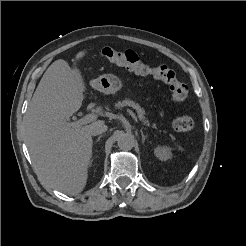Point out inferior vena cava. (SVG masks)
Returning <instances> with one entry per match:
<instances>
[{
    "label": "inferior vena cava",
    "instance_id": "1",
    "mask_svg": "<svg viewBox=\"0 0 246 246\" xmlns=\"http://www.w3.org/2000/svg\"><path fill=\"white\" fill-rule=\"evenodd\" d=\"M107 131V125L103 121H97L92 124L91 135L96 136Z\"/></svg>",
    "mask_w": 246,
    "mask_h": 246
}]
</instances>
